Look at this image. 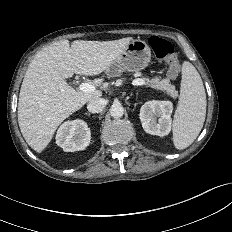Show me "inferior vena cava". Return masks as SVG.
Wrapping results in <instances>:
<instances>
[{"label": "inferior vena cava", "instance_id": "1", "mask_svg": "<svg viewBox=\"0 0 232 232\" xmlns=\"http://www.w3.org/2000/svg\"><path fill=\"white\" fill-rule=\"evenodd\" d=\"M107 104V101L103 98H96L91 101H89L87 105V109L89 112L92 113H99L101 112Z\"/></svg>", "mask_w": 232, "mask_h": 232}]
</instances>
